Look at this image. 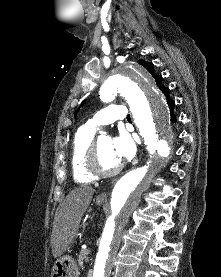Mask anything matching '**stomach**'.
Listing matches in <instances>:
<instances>
[{"label": "stomach", "mask_w": 221, "mask_h": 277, "mask_svg": "<svg viewBox=\"0 0 221 277\" xmlns=\"http://www.w3.org/2000/svg\"><path fill=\"white\" fill-rule=\"evenodd\" d=\"M102 200L97 199L96 204L101 205ZM79 268L75 259L70 255L58 258L52 268L51 277H78Z\"/></svg>", "instance_id": "1"}]
</instances>
